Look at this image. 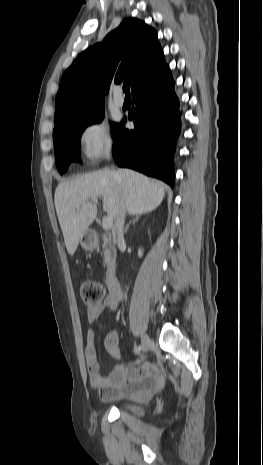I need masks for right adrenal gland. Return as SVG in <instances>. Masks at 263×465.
I'll list each match as a JSON object with an SVG mask.
<instances>
[{
    "mask_svg": "<svg viewBox=\"0 0 263 465\" xmlns=\"http://www.w3.org/2000/svg\"><path fill=\"white\" fill-rule=\"evenodd\" d=\"M138 219H139V215H137L132 221H130V222L127 224L126 228H125V232H127L128 229H129V226H130L131 224H135V223L138 221Z\"/></svg>",
    "mask_w": 263,
    "mask_h": 465,
    "instance_id": "2a0ac1e0",
    "label": "right adrenal gland"
}]
</instances>
